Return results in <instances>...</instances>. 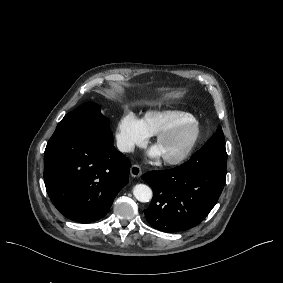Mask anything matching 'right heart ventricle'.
Segmentation results:
<instances>
[{
	"mask_svg": "<svg viewBox=\"0 0 283 283\" xmlns=\"http://www.w3.org/2000/svg\"><path fill=\"white\" fill-rule=\"evenodd\" d=\"M185 117H192V115L179 110H158L147 112L145 119L148 128L154 133H160Z\"/></svg>",
	"mask_w": 283,
	"mask_h": 283,
	"instance_id": "e07e8e85",
	"label": "right heart ventricle"
}]
</instances>
